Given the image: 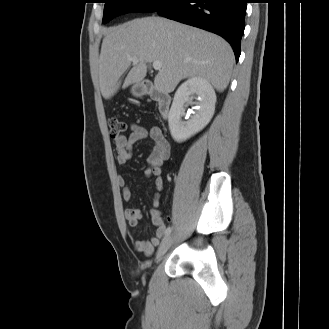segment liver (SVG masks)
Segmentation results:
<instances>
[{"label": "liver", "instance_id": "liver-1", "mask_svg": "<svg viewBox=\"0 0 329 329\" xmlns=\"http://www.w3.org/2000/svg\"><path fill=\"white\" fill-rule=\"evenodd\" d=\"M133 63L122 88L141 82L147 63L160 61L155 87L172 92L185 78L201 77L217 91L229 84L234 55L221 37L161 17L134 19L106 30L99 59L101 94L110 99L119 89V79Z\"/></svg>", "mask_w": 329, "mask_h": 329}]
</instances>
